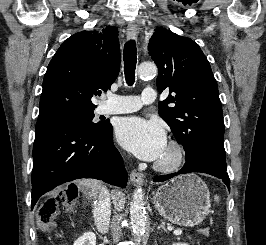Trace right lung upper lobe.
I'll return each mask as SVG.
<instances>
[{"label":"right lung upper lobe","mask_w":266,"mask_h":245,"mask_svg":"<svg viewBox=\"0 0 266 245\" xmlns=\"http://www.w3.org/2000/svg\"><path fill=\"white\" fill-rule=\"evenodd\" d=\"M119 70L117 27L107 26L99 31H81L72 35L48 65L38 121L56 119L73 111L95 109L91 97L100 88H110Z\"/></svg>","instance_id":"right-lung-upper-lobe-1"}]
</instances>
